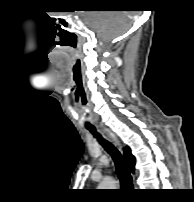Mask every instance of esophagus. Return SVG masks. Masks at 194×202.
Instances as JSON below:
<instances>
[{
    "label": "esophagus",
    "instance_id": "34e87169",
    "mask_svg": "<svg viewBox=\"0 0 194 202\" xmlns=\"http://www.w3.org/2000/svg\"><path fill=\"white\" fill-rule=\"evenodd\" d=\"M106 131H107V133L109 134V136H110L114 141L117 142L116 136H115L112 132H110L109 130H106Z\"/></svg>",
    "mask_w": 194,
    "mask_h": 202
}]
</instances>
